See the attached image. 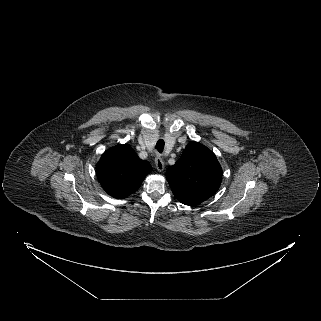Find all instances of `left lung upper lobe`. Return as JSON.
Here are the masks:
<instances>
[{"label": "left lung upper lobe", "mask_w": 321, "mask_h": 321, "mask_svg": "<svg viewBox=\"0 0 321 321\" xmlns=\"http://www.w3.org/2000/svg\"><path fill=\"white\" fill-rule=\"evenodd\" d=\"M166 178L177 200L195 206L217 192L222 168L212 151L190 142L179 160L167 169Z\"/></svg>", "instance_id": "1"}]
</instances>
